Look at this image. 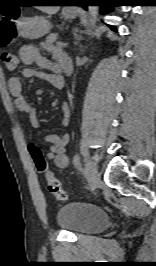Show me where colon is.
I'll use <instances>...</instances> for the list:
<instances>
[{
	"label": "colon",
	"mask_w": 156,
	"mask_h": 266,
	"mask_svg": "<svg viewBox=\"0 0 156 266\" xmlns=\"http://www.w3.org/2000/svg\"><path fill=\"white\" fill-rule=\"evenodd\" d=\"M16 36V29L11 18L8 17L0 23V42L2 44L10 42ZM2 60L6 68L13 71L18 66V57L13 51H5L2 54ZM28 149L32 156L36 170L43 174L47 181L48 191L53 194L57 200L64 201L67 199L66 192L62 189L60 181L50 170L41 150L35 145H29Z\"/></svg>",
	"instance_id": "colon-1"
}]
</instances>
